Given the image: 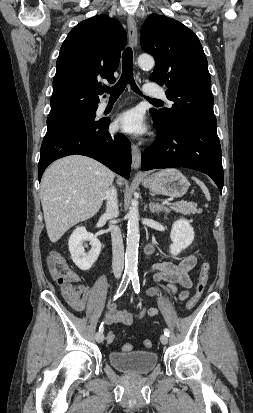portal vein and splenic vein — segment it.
Wrapping results in <instances>:
<instances>
[{
	"label": "portal vein and splenic vein",
	"instance_id": "18ae733b",
	"mask_svg": "<svg viewBox=\"0 0 253 413\" xmlns=\"http://www.w3.org/2000/svg\"><path fill=\"white\" fill-rule=\"evenodd\" d=\"M172 201V199H168V200H165L163 203L164 204H168L169 202H171Z\"/></svg>",
	"mask_w": 253,
	"mask_h": 413
}]
</instances>
